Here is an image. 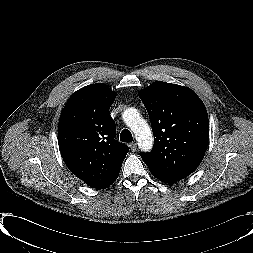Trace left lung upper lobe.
<instances>
[{
  "mask_svg": "<svg viewBox=\"0 0 253 253\" xmlns=\"http://www.w3.org/2000/svg\"><path fill=\"white\" fill-rule=\"evenodd\" d=\"M149 114L154 147L140 153L150 172L191 174L201 163L209 140L206 108L187 87L156 81L139 92Z\"/></svg>",
  "mask_w": 253,
  "mask_h": 253,
  "instance_id": "obj_1",
  "label": "left lung upper lobe"
}]
</instances>
